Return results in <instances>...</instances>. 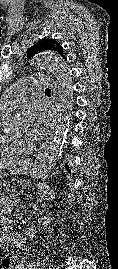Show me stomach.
Segmentation results:
<instances>
[{
    "mask_svg": "<svg viewBox=\"0 0 118 269\" xmlns=\"http://www.w3.org/2000/svg\"><path fill=\"white\" fill-rule=\"evenodd\" d=\"M9 170L11 174H19V175L26 174L29 170V163L12 165Z\"/></svg>",
    "mask_w": 118,
    "mask_h": 269,
    "instance_id": "0dacf381",
    "label": "stomach"
}]
</instances>
